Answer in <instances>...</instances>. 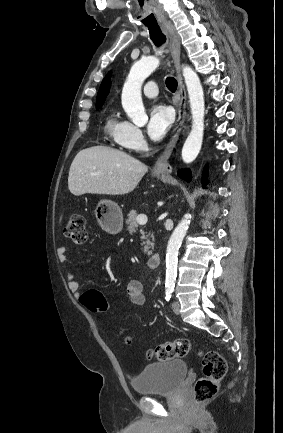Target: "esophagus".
Returning <instances> with one entry per match:
<instances>
[{
    "mask_svg": "<svg viewBox=\"0 0 283 433\" xmlns=\"http://www.w3.org/2000/svg\"><path fill=\"white\" fill-rule=\"evenodd\" d=\"M162 27L170 40V51L176 69V73H177L178 87L180 92V104L178 107V117L176 119L170 141L166 146L165 150L163 151L162 155L160 156V158H158V160L156 161L153 167V171L156 173H170L172 171V167L170 166L168 160L172 150L174 149L177 143V140L179 138V135L181 133L186 118V91L183 83L181 66H180V52H181L180 37L174 25L171 22L162 23Z\"/></svg>",
    "mask_w": 283,
    "mask_h": 433,
    "instance_id": "obj_1",
    "label": "esophagus"
}]
</instances>
